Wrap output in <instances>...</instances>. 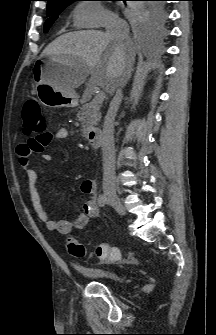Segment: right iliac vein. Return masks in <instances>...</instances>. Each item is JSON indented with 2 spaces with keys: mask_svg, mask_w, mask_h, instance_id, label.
Here are the masks:
<instances>
[{
  "mask_svg": "<svg viewBox=\"0 0 216 335\" xmlns=\"http://www.w3.org/2000/svg\"><path fill=\"white\" fill-rule=\"evenodd\" d=\"M105 198L107 199V202L109 203V205L112 206L118 214L122 216L126 214V211H125V208L122 202L114 193L105 192Z\"/></svg>",
  "mask_w": 216,
  "mask_h": 335,
  "instance_id": "63e3f726",
  "label": "right iliac vein"
}]
</instances>
